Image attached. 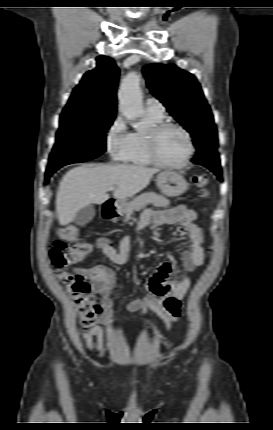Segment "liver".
Wrapping results in <instances>:
<instances>
[{
  "label": "liver",
  "mask_w": 273,
  "mask_h": 430,
  "mask_svg": "<svg viewBox=\"0 0 273 430\" xmlns=\"http://www.w3.org/2000/svg\"><path fill=\"white\" fill-rule=\"evenodd\" d=\"M157 169L137 165H82L69 170L60 182L56 210L60 225L71 223L77 212L109 199L108 188L117 186L115 199H125L148 186Z\"/></svg>",
  "instance_id": "6515ba94"
}]
</instances>
